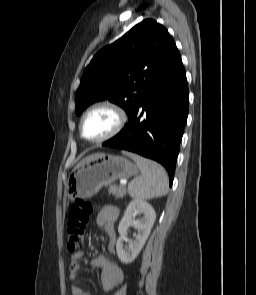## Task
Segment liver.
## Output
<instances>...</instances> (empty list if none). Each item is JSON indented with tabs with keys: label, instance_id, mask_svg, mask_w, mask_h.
<instances>
[{
	"label": "liver",
	"instance_id": "6515ba94",
	"mask_svg": "<svg viewBox=\"0 0 256 295\" xmlns=\"http://www.w3.org/2000/svg\"><path fill=\"white\" fill-rule=\"evenodd\" d=\"M96 155H97V154H93V155H90V156L86 157V158L83 159L78 165H80L81 163H83V162H85V161H87V160L93 158V157L96 156ZM78 165H77V166H78Z\"/></svg>",
	"mask_w": 256,
	"mask_h": 295
}]
</instances>
